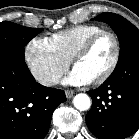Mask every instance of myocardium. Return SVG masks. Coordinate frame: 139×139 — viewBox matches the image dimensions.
<instances>
[{
	"label": "myocardium",
	"mask_w": 139,
	"mask_h": 139,
	"mask_svg": "<svg viewBox=\"0 0 139 139\" xmlns=\"http://www.w3.org/2000/svg\"><path fill=\"white\" fill-rule=\"evenodd\" d=\"M108 36L112 39L113 44H114V55L113 58L111 60V63L109 64L108 68L105 70V72L98 77L97 79L93 80V82L95 84H102L104 82H106L115 72V70L118 67L119 61H120V57H121V45H120V41L119 38L117 37V35L112 32V31H108V30H102L96 34H94L93 36H91L90 38H88L78 49L77 51L74 53L71 62L72 65L75 67L76 63L78 62V60L80 58H82L84 55H86L92 48L93 46L102 38Z\"/></svg>",
	"instance_id": "f54148a6"
}]
</instances>
